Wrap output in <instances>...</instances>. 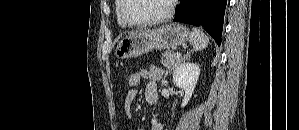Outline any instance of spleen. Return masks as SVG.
I'll return each mask as SVG.
<instances>
[{
    "label": "spleen",
    "mask_w": 299,
    "mask_h": 130,
    "mask_svg": "<svg viewBox=\"0 0 299 130\" xmlns=\"http://www.w3.org/2000/svg\"><path fill=\"white\" fill-rule=\"evenodd\" d=\"M189 41L194 51H200L208 46L209 38L203 33L202 30L192 28V32L189 36Z\"/></svg>",
    "instance_id": "spleen-1"
}]
</instances>
